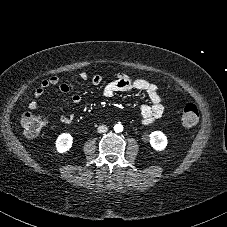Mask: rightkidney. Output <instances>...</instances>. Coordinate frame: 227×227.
<instances>
[{
    "mask_svg": "<svg viewBox=\"0 0 227 227\" xmlns=\"http://www.w3.org/2000/svg\"><path fill=\"white\" fill-rule=\"evenodd\" d=\"M73 143V137L69 133L60 134L56 140L55 146L59 153L67 152Z\"/></svg>",
    "mask_w": 227,
    "mask_h": 227,
    "instance_id": "obj_1",
    "label": "right kidney"
}]
</instances>
